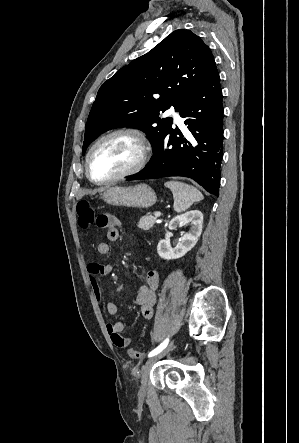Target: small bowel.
<instances>
[{
	"label": "small bowel",
	"instance_id": "obj_1",
	"mask_svg": "<svg viewBox=\"0 0 299 443\" xmlns=\"http://www.w3.org/2000/svg\"><path fill=\"white\" fill-rule=\"evenodd\" d=\"M97 225L106 230V241L100 242L97 250L99 254L107 255L110 252V244L117 241L119 238V227L121 226V222L112 214H102L97 219ZM111 272L112 265L108 263H90L88 265L89 279L99 301L102 300L99 277L109 275ZM159 282V272L155 269H151L146 274L144 284L138 290L136 303L140 307L141 314L145 319L153 317ZM106 310L112 317L118 315V307L113 302L106 303ZM124 329L125 324L122 321H115L106 325V330L110 336L111 342L118 349H125L131 344V339L121 335Z\"/></svg>",
	"mask_w": 299,
	"mask_h": 443
}]
</instances>
